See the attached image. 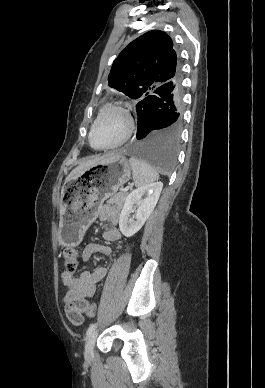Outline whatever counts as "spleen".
Masks as SVG:
<instances>
[{"label":"spleen","instance_id":"obj_1","mask_svg":"<svg viewBox=\"0 0 265 388\" xmlns=\"http://www.w3.org/2000/svg\"><path fill=\"white\" fill-rule=\"evenodd\" d=\"M130 166L132 168V176L136 188H142V186H148L152 182L159 180V174L151 168L148 162L145 160H138L135 156H132L129 160Z\"/></svg>","mask_w":265,"mask_h":388}]
</instances>
